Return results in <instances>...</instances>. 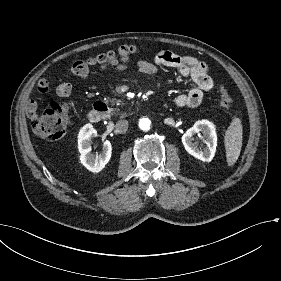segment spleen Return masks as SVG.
<instances>
[{"instance_id":"1","label":"spleen","mask_w":281,"mask_h":281,"mask_svg":"<svg viewBox=\"0 0 281 281\" xmlns=\"http://www.w3.org/2000/svg\"><path fill=\"white\" fill-rule=\"evenodd\" d=\"M226 164L228 167L234 166L237 162L243 142V128L241 119L235 116L223 136Z\"/></svg>"}]
</instances>
